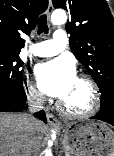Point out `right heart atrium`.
<instances>
[{
	"instance_id": "d8ad5b80",
	"label": "right heart atrium",
	"mask_w": 114,
	"mask_h": 156,
	"mask_svg": "<svg viewBox=\"0 0 114 156\" xmlns=\"http://www.w3.org/2000/svg\"><path fill=\"white\" fill-rule=\"evenodd\" d=\"M25 89L28 99L33 104L41 105L44 102V95L28 77L25 80Z\"/></svg>"
}]
</instances>
